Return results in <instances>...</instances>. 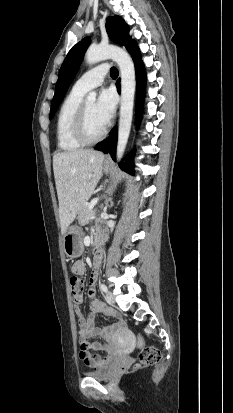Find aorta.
I'll return each mask as SVG.
<instances>
[{
  "mask_svg": "<svg viewBox=\"0 0 233 413\" xmlns=\"http://www.w3.org/2000/svg\"><path fill=\"white\" fill-rule=\"evenodd\" d=\"M85 59L88 64H94L102 60L112 59L120 69L121 74V104L118 128V141L116 158L119 162L124 154L133 117V105L135 95V69L130 55L123 49L111 45L91 46L87 49ZM96 101V93L87 95V103Z\"/></svg>",
  "mask_w": 233,
  "mask_h": 413,
  "instance_id": "aorta-1",
  "label": "aorta"
}]
</instances>
